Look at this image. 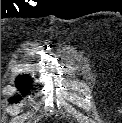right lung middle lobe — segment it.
<instances>
[{"mask_svg":"<svg viewBox=\"0 0 122 123\" xmlns=\"http://www.w3.org/2000/svg\"><path fill=\"white\" fill-rule=\"evenodd\" d=\"M16 84L22 92L27 93L30 89L31 80L27 76H19L16 80ZM17 99V97L11 98L10 102L15 103L17 102Z\"/></svg>","mask_w":122,"mask_h":123,"instance_id":"obj_1","label":"right lung middle lobe"}]
</instances>
